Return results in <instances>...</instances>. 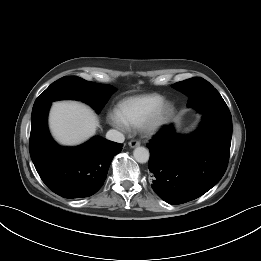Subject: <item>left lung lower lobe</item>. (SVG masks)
<instances>
[{"mask_svg":"<svg viewBox=\"0 0 261 261\" xmlns=\"http://www.w3.org/2000/svg\"><path fill=\"white\" fill-rule=\"evenodd\" d=\"M203 117L198 129L189 136L175 133L173 124L167 125L147 147L148 163L153 173L156 194L169 204L194 200L224 175L232 138V118L229 109H215L211 105L215 94L203 88Z\"/></svg>","mask_w":261,"mask_h":261,"instance_id":"obj_1","label":"left lung lower lobe"}]
</instances>
